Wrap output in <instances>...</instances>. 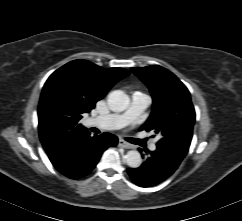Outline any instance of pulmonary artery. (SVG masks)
Here are the masks:
<instances>
[{
  "instance_id": "1",
  "label": "pulmonary artery",
  "mask_w": 242,
  "mask_h": 221,
  "mask_svg": "<svg viewBox=\"0 0 242 221\" xmlns=\"http://www.w3.org/2000/svg\"><path fill=\"white\" fill-rule=\"evenodd\" d=\"M150 103V96L142 92H134L131 96L130 104L124 112L95 117L91 120V123L97 128L106 130L122 128L134 123ZM149 148L154 151L156 145L152 143Z\"/></svg>"
}]
</instances>
